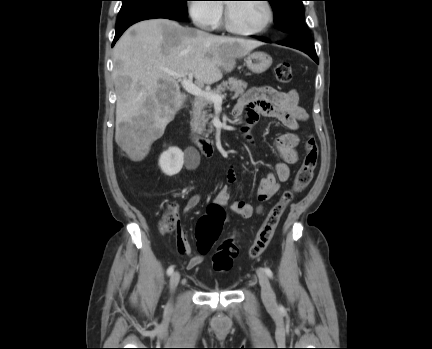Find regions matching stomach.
Segmentation results:
<instances>
[{
    "label": "stomach",
    "instance_id": "obj_1",
    "mask_svg": "<svg viewBox=\"0 0 432 349\" xmlns=\"http://www.w3.org/2000/svg\"><path fill=\"white\" fill-rule=\"evenodd\" d=\"M247 68L255 74H261L272 65V57L261 51L248 54L245 58Z\"/></svg>",
    "mask_w": 432,
    "mask_h": 349
}]
</instances>
